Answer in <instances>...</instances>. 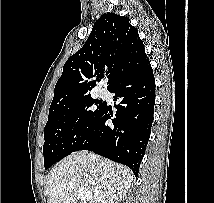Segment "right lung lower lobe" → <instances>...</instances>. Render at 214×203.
Masks as SVG:
<instances>
[{
  "mask_svg": "<svg viewBox=\"0 0 214 203\" xmlns=\"http://www.w3.org/2000/svg\"><path fill=\"white\" fill-rule=\"evenodd\" d=\"M109 91L118 101L115 116L104 104L91 131L73 152L93 151L127 165L137 176L153 122L155 78L150 63L116 82ZM108 119L113 124H107Z\"/></svg>",
  "mask_w": 214,
  "mask_h": 203,
  "instance_id": "obj_1",
  "label": "right lung lower lobe"
}]
</instances>
